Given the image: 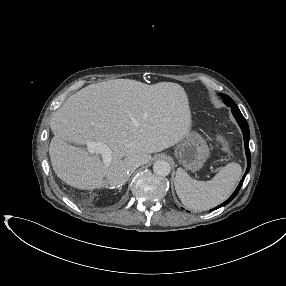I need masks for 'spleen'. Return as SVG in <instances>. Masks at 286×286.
<instances>
[{
    "label": "spleen",
    "instance_id": "spleen-1",
    "mask_svg": "<svg viewBox=\"0 0 286 286\" xmlns=\"http://www.w3.org/2000/svg\"><path fill=\"white\" fill-rule=\"evenodd\" d=\"M242 174L241 166L228 163L209 181L192 179L182 168H178L175 189L185 207L204 211L224 202L234 191Z\"/></svg>",
    "mask_w": 286,
    "mask_h": 286
}]
</instances>
